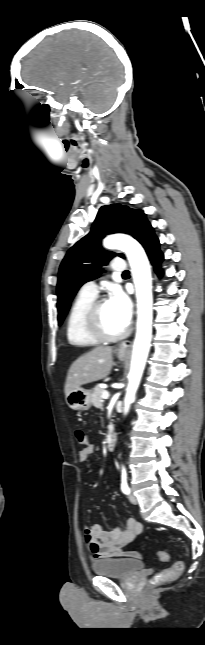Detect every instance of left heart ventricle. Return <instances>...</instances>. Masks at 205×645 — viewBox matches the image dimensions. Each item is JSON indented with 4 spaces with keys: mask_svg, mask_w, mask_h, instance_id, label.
<instances>
[{
    "mask_svg": "<svg viewBox=\"0 0 205 645\" xmlns=\"http://www.w3.org/2000/svg\"><path fill=\"white\" fill-rule=\"evenodd\" d=\"M100 319L103 328L110 334H117L125 329L108 301L101 308Z\"/></svg>",
    "mask_w": 205,
    "mask_h": 645,
    "instance_id": "b2bd125f",
    "label": "left heart ventricle"
}]
</instances>
